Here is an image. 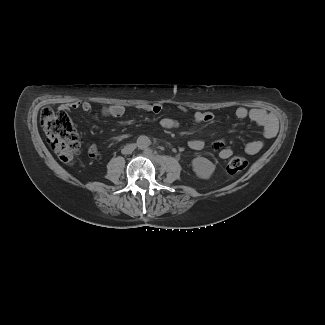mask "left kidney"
Here are the masks:
<instances>
[{"label": "left kidney", "instance_id": "1", "mask_svg": "<svg viewBox=\"0 0 325 325\" xmlns=\"http://www.w3.org/2000/svg\"><path fill=\"white\" fill-rule=\"evenodd\" d=\"M192 167L195 174L201 179H209L216 168L210 160L200 156L192 160Z\"/></svg>", "mask_w": 325, "mask_h": 325}]
</instances>
